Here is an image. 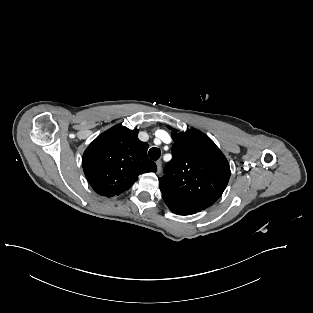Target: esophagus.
<instances>
[{"label": "esophagus", "mask_w": 313, "mask_h": 313, "mask_svg": "<svg viewBox=\"0 0 313 313\" xmlns=\"http://www.w3.org/2000/svg\"><path fill=\"white\" fill-rule=\"evenodd\" d=\"M156 165H157V173H160L161 172V168H162L161 160L156 161Z\"/></svg>", "instance_id": "1"}]
</instances>
